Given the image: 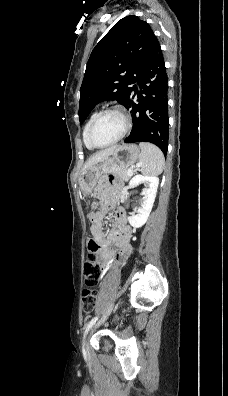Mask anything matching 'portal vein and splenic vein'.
<instances>
[{"instance_id": "obj_1", "label": "portal vein and splenic vein", "mask_w": 228, "mask_h": 396, "mask_svg": "<svg viewBox=\"0 0 228 396\" xmlns=\"http://www.w3.org/2000/svg\"><path fill=\"white\" fill-rule=\"evenodd\" d=\"M132 173H133V170L130 169V170H129V174H132Z\"/></svg>"}]
</instances>
